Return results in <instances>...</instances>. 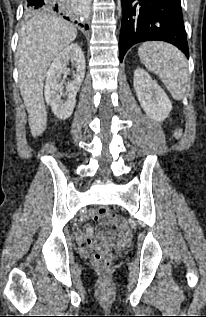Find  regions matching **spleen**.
Listing matches in <instances>:
<instances>
[{"label": "spleen", "instance_id": "obj_1", "mask_svg": "<svg viewBox=\"0 0 206 317\" xmlns=\"http://www.w3.org/2000/svg\"><path fill=\"white\" fill-rule=\"evenodd\" d=\"M138 54L147 69L159 76L172 97L183 99L189 79L187 61L176 47L162 42L144 43Z\"/></svg>", "mask_w": 206, "mask_h": 317}]
</instances>
